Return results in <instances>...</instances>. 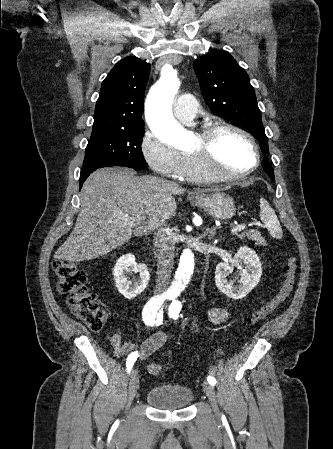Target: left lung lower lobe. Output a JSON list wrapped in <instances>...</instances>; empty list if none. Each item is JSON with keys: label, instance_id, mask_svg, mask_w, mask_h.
Instances as JSON below:
<instances>
[{"label": "left lung lower lobe", "instance_id": "1", "mask_svg": "<svg viewBox=\"0 0 333 449\" xmlns=\"http://www.w3.org/2000/svg\"><path fill=\"white\" fill-rule=\"evenodd\" d=\"M262 166H263V169H265L266 171H270V169H271V165L267 158L263 159Z\"/></svg>", "mask_w": 333, "mask_h": 449}]
</instances>
